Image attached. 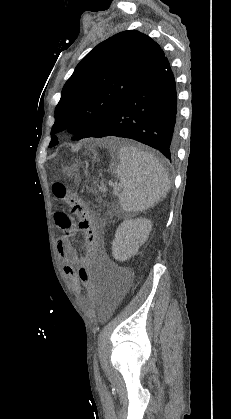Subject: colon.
<instances>
[{
  "label": "colon",
  "mask_w": 231,
  "mask_h": 419,
  "mask_svg": "<svg viewBox=\"0 0 231 419\" xmlns=\"http://www.w3.org/2000/svg\"><path fill=\"white\" fill-rule=\"evenodd\" d=\"M52 190L59 202L67 205L69 213L78 219L77 229L85 234V253L80 260L77 279L81 280L83 289L88 293V301L93 302L94 298H97L102 290L101 284H98L95 278H93V274L89 273L91 262H95L100 254V244L96 236L94 218L85 201L75 193L69 192L63 183H53Z\"/></svg>",
  "instance_id": "obj_1"
}]
</instances>
